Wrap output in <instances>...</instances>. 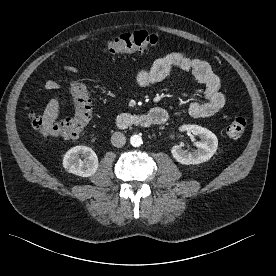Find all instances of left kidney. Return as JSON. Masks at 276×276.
Masks as SVG:
<instances>
[{
	"mask_svg": "<svg viewBox=\"0 0 276 276\" xmlns=\"http://www.w3.org/2000/svg\"><path fill=\"white\" fill-rule=\"evenodd\" d=\"M180 131H186L200 137V141L195 142L197 149L194 152L184 150L181 145H175L171 149L173 158L185 165L199 164L208 161L216 152L218 140L210 130L198 125H184Z\"/></svg>",
	"mask_w": 276,
	"mask_h": 276,
	"instance_id": "left-kidney-1",
	"label": "left kidney"
}]
</instances>
